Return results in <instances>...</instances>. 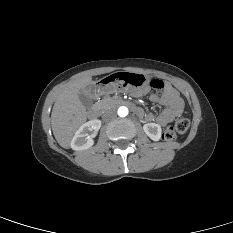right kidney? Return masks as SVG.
<instances>
[{
    "label": "right kidney",
    "mask_w": 233,
    "mask_h": 233,
    "mask_svg": "<svg viewBox=\"0 0 233 233\" xmlns=\"http://www.w3.org/2000/svg\"><path fill=\"white\" fill-rule=\"evenodd\" d=\"M101 127L100 120H91L84 123L75 133L72 141L71 148L73 150H85L90 148L94 144V137L97 131ZM89 131H93L91 135L88 134Z\"/></svg>",
    "instance_id": "ca27d5eb"
}]
</instances>
